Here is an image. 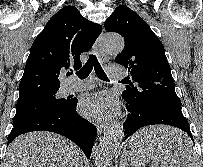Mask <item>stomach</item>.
Wrapping results in <instances>:
<instances>
[{
  "label": "stomach",
  "mask_w": 203,
  "mask_h": 167,
  "mask_svg": "<svg viewBox=\"0 0 203 167\" xmlns=\"http://www.w3.org/2000/svg\"><path fill=\"white\" fill-rule=\"evenodd\" d=\"M147 129L148 128L143 129V130H147ZM132 152H133V147L132 146H128L126 151H125V153H124V156L122 157L121 166L120 167H129V165L132 166V163H131ZM154 153H157V149H154Z\"/></svg>",
  "instance_id": "obj_1"
}]
</instances>
